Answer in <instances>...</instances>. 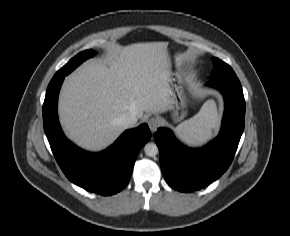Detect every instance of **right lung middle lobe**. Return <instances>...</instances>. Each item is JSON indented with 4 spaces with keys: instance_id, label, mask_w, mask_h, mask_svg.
Instances as JSON below:
<instances>
[{
    "instance_id": "obj_1",
    "label": "right lung middle lobe",
    "mask_w": 290,
    "mask_h": 236,
    "mask_svg": "<svg viewBox=\"0 0 290 236\" xmlns=\"http://www.w3.org/2000/svg\"><path fill=\"white\" fill-rule=\"evenodd\" d=\"M95 54L93 50H86L79 53L74 58H72L65 66H63L54 76H66L72 72L77 66H79L83 61L92 57Z\"/></svg>"
}]
</instances>
